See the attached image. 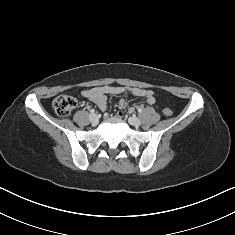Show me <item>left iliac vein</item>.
Wrapping results in <instances>:
<instances>
[{"mask_svg": "<svg viewBox=\"0 0 235 235\" xmlns=\"http://www.w3.org/2000/svg\"><path fill=\"white\" fill-rule=\"evenodd\" d=\"M128 122H129L131 125L135 126V127H138V126H140V124H141L140 119L137 118V117H134V116L130 117V118L128 119Z\"/></svg>", "mask_w": 235, "mask_h": 235, "instance_id": "left-iliac-vein-1", "label": "left iliac vein"}]
</instances>
